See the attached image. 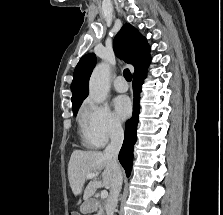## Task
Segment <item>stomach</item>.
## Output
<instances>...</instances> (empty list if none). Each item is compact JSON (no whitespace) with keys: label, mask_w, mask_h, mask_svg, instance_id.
Instances as JSON below:
<instances>
[{"label":"stomach","mask_w":223,"mask_h":215,"mask_svg":"<svg viewBox=\"0 0 223 215\" xmlns=\"http://www.w3.org/2000/svg\"><path fill=\"white\" fill-rule=\"evenodd\" d=\"M93 204H94V201L82 203L80 207V211H82V213H91V211H93V209H91V206H93Z\"/></svg>","instance_id":"0dacf381"}]
</instances>
